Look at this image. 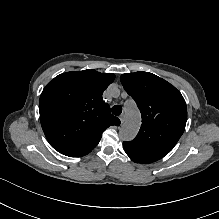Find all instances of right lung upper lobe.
Here are the masks:
<instances>
[{
  "label": "right lung upper lobe",
  "mask_w": 219,
  "mask_h": 219,
  "mask_svg": "<svg viewBox=\"0 0 219 219\" xmlns=\"http://www.w3.org/2000/svg\"><path fill=\"white\" fill-rule=\"evenodd\" d=\"M114 78L112 73L83 70L60 74L47 84L40 96V121L55 150L69 157L84 156L106 128L120 124L102 99Z\"/></svg>",
  "instance_id": "1"
}]
</instances>
